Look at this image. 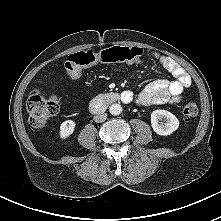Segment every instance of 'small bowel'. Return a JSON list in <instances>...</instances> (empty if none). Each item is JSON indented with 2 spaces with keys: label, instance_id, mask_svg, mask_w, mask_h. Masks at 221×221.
<instances>
[{
  "label": "small bowel",
  "instance_id": "obj_1",
  "mask_svg": "<svg viewBox=\"0 0 221 221\" xmlns=\"http://www.w3.org/2000/svg\"><path fill=\"white\" fill-rule=\"evenodd\" d=\"M156 57L174 79L158 80L147 85L137 97V103L143 107L179 102L184 89L191 85L190 76L175 60L160 55Z\"/></svg>",
  "mask_w": 221,
  "mask_h": 221
}]
</instances>
